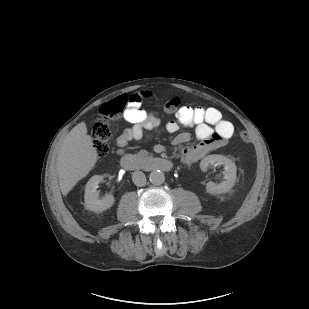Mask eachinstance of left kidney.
Wrapping results in <instances>:
<instances>
[{
    "label": "left kidney",
    "mask_w": 309,
    "mask_h": 309,
    "mask_svg": "<svg viewBox=\"0 0 309 309\" xmlns=\"http://www.w3.org/2000/svg\"><path fill=\"white\" fill-rule=\"evenodd\" d=\"M215 163L219 165H224L225 170L223 171V175L225 181L219 184H216L211 181L208 182L206 184V191L211 195L222 194L230 191L236 182V172H237L236 165L229 158L225 156L218 154L209 155L201 160L200 168L202 171H206L208 166L213 165Z\"/></svg>",
    "instance_id": "5707ae66"
}]
</instances>
